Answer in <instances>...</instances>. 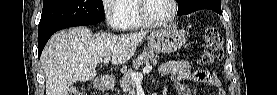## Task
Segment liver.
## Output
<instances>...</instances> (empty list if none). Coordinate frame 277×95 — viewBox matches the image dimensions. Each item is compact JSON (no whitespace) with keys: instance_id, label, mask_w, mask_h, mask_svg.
Masks as SVG:
<instances>
[{"instance_id":"1","label":"liver","mask_w":277,"mask_h":95,"mask_svg":"<svg viewBox=\"0 0 277 95\" xmlns=\"http://www.w3.org/2000/svg\"><path fill=\"white\" fill-rule=\"evenodd\" d=\"M147 32L114 35L93 34L86 27H75L54 34L44 48L40 62L46 78V95H65L75 82L96 76V67L105 58L113 65L127 62Z\"/></svg>"}]
</instances>
